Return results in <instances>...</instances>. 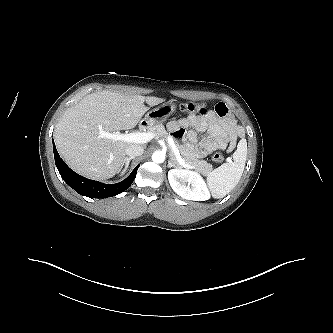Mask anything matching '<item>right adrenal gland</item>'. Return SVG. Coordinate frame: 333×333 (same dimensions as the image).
I'll list each match as a JSON object with an SVG mask.
<instances>
[{
  "instance_id": "2a0ac1e0",
  "label": "right adrenal gland",
  "mask_w": 333,
  "mask_h": 333,
  "mask_svg": "<svg viewBox=\"0 0 333 333\" xmlns=\"http://www.w3.org/2000/svg\"><path fill=\"white\" fill-rule=\"evenodd\" d=\"M132 159H134V157H126L124 159L125 167H128V165Z\"/></svg>"
}]
</instances>
